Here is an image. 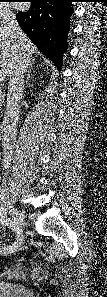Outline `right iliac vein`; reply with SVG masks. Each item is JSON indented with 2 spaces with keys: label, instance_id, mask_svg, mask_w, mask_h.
I'll return each instance as SVG.
<instances>
[{
  "label": "right iliac vein",
  "instance_id": "right-iliac-vein-1",
  "mask_svg": "<svg viewBox=\"0 0 107 297\" xmlns=\"http://www.w3.org/2000/svg\"><path fill=\"white\" fill-rule=\"evenodd\" d=\"M10 212H11V215H12L15 225L22 231V229L24 228V225H25L23 214L13 204L10 205ZM23 239H24L23 235L17 237V240L12 245V251H5V252H3V254L6 255L11 252L17 251V249H19L21 244L23 243Z\"/></svg>",
  "mask_w": 107,
  "mask_h": 297
}]
</instances>
